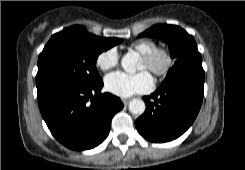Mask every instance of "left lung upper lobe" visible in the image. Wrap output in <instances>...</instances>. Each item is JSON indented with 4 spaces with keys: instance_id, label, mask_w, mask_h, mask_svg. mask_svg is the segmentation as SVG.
<instances>
[{
    "instance_id": "1",
    "label": "left lung upper lobe",
    "mask_w": 245,
    "mask_h": 170,
    "mask_svg": "<svg viewBox=\"0 0 245 170\" xmlns=\"http://www.w3.org/2000/svg\"><path fill=\"white\" fill-rule=\"evenodd\" d=\"M139 36L162 39L168 44L171 57L176 59L160 87L185 79L204 82L201 54L194 38L185 30L175 25H154Z\"/></svg>"
}]
</instances>
